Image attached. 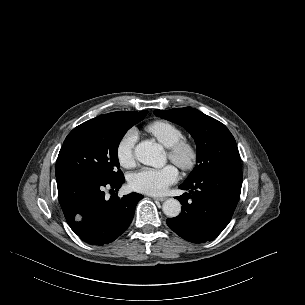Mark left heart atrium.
<instances>
[{"label":"left heart atrium","mask_w":305,"mask_h":305,"mask_svg":"<svg viewBox=\"0 0 305 305\" xmlns=\"http://www.w3.org/2000/svg\"><path fill=\"white\" fill-rule=\"evenodd\" d=\"M178 170L173 165L162 168H144L130 177L131 187L149 195L163 194L169 186L177 182Z\"/></svg>","instance_id":"1"}]
</instances>
